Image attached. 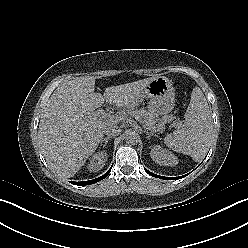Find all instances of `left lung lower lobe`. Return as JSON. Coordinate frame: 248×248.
<instances>
[{
	"mask_svg": "<svg viewBox=\"0 0 248 248\" xmlns=\"http://www.w3.org/2000/svg\"><path fill=\"white\" fill-rule=\"evenodd\" d=\"M145 169V168H144ZM145 171L150 174L151 176L153 177H156V178H160V179H166V180H176V179H181L183 177H185L186 175L184 176H179V177H163V176H159V175H156L154 173H151L150 171H148L147 169H145Z\"/></svg>",
	"mask_w": 248,
	"mask_h": 248,
	"instance_id": "obj_1",
	"label": "left lung lower lobe"
}]
</instances>
